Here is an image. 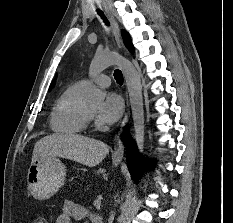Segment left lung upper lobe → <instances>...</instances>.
<instances>
[{"instance_id": "5c2ea615", "label": "left lung upper lobe", "mask_w": 233, "mask_h": 223, "mask_svg": "<svg viewBox=\"0 0 233 223\" xmlns=\"http://www.w3.org/2000/svg\"><path fill=\"white\" fill-rule=\"evenodd\" d=\"M122 37L126 47L129 49L130 52H133V45L131 43L129 34L126 31H122Z\"/></svg>"}]
</instances>
